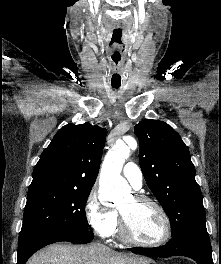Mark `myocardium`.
<instances>
[{"label": "myocardium", "instance_id": "f54148a6", "mask_svg": "<svg viewBox=\"0 0 221 264\" xmlns=\"http://www.w3.org/2000/svg\"><path fill=\"white\" fill-rule=\"evenodd\" d=\"M133 198L137 202L149 203L158 210L164 222V234L162 238L156 242H143L136 239L131 232L128 222L119 211V232L122 239L129 244L145 248H156L167 243L171 237L172 227L170 217L164 207L154 198L144 194H135Z\"/></svg>", "mask_w": 221, "mask_h": 264}]
</instances>
